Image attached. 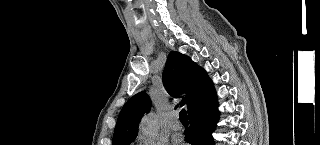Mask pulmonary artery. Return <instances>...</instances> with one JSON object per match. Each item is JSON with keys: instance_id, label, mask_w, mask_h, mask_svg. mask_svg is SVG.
I'll list each match as a JSON object with an SVG mask.
<instances>
[{"instance_id": "obj_1", "label": "pulmonary artery", "mask_w": 320, "mask_h": 145, "mask_svg": "<svg viewBox=\"0 0 320 145\" xmlns=\"http://www.w3.org/2000/svg\"><path fill=\"white\" fill-rule=\"evenodd\" d=\"M170 128L175 130V131L181 130L182 124L178 121L177 114L173 115L172 120L170 122Z\"/></svg>"}]
</instances>
